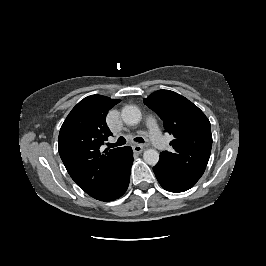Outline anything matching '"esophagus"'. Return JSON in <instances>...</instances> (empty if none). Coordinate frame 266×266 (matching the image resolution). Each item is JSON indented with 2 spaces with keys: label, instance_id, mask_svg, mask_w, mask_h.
I'll use <instances>...</instances> for the list:
<instances>
[{
  "label": "esophagus",
  "instance_id": "esophagus-1",
  "mask_svg": "<svg viewBox=\"0 0 266 266\" xmlns=\"http://www.w3.org/2000/svg\"><path fill=\"white\" fill-rule=\"evenodd\" d=\"M132 148L135 153H141L144 149L143 145L141 144H134Z\"/></svg>",
  "mask_w": 266,
  "mask_h": 266
}]
</instances>
